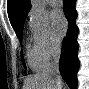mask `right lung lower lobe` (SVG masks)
<instances>
[{"label": "right lung lower lobe", "mask_w": 89, "mask_h": 89, "mask_svg": "<svg viewBox=\"0 0 89 89\" xmlns=\"http://www.w3.org/2000/svg\"><path fill=\"white\" fill-rule=\"evenodd\" d=\"M76 0H63L64 13L69 27L63 40L62 52L59 61V70L63 80L70 89H77V72L79 69L78 54V27L75 24L77 12L75 10Z\"/></svg>", "instance_id": "obj_1"}]
</instances>
